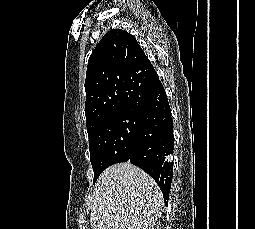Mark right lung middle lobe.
Segmentation results:
<instances>
[{"label": "right lung middle lobe", "instance_id": "right-lung-middle-lobe-1", "mask_svg": "<svg viewBox=\"0 0 255 229\" xmlns=\"http://www.w3.org/2000/svg\"><path fill=\"white\" fill-rule=\"evenodd\" d=\"M140 118L123 109L103 122L89 136L90 161L96 182L99 175L110 165L127 162L135 146Z\"/></svg>", "mask_w": 255, "mask_h": 229}]
</instances>
